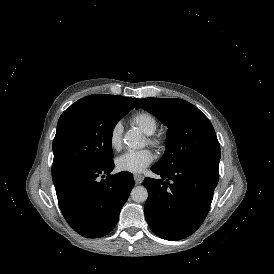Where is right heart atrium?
Segmentation results:
<instances>
[{
	"label": "right heart atrium",
	"mask_w": 274,
	"mask_h": 274,
	"mask_svg": "<svg viewBox=\"0 0 274 274\" xmlns=\"http://www.w3.org/2000/svg\"><path fill=\"white\" fill-rule=\"evenodd\" d=\"M109 144L113 150H118L121 147L120 126L114 125L109 133Z\"/></svg>",
	"instance_id": "obj_1"
}]
</instances>
